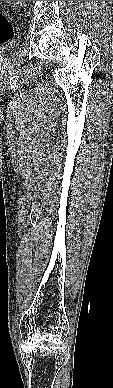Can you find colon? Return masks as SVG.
<instances>
[{
	"label": "colon",
	"instance_id": "1",
	"mask_svg": "<svg viewBox=\"0 0 113 388\" xmlns=\"http://www.w3.org/2000/svg\"><path fill=\"white\" fill-rule=\"evenodd\" d=\"M14 36V29L11 17L8 14L0 13V45L9 42Z\"/></svg>",
	"mask_w": 113,
	"mask_h": 388
}]
</instances>
